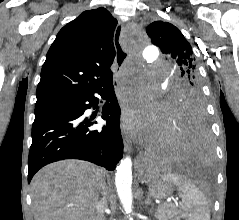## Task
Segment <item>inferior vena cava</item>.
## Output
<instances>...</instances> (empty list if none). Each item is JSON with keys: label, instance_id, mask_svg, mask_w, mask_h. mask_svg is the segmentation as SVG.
Instances as JSON below:
<instances>
[{"label": "inferior vena cava", "instance_id": "1", "mask_svg": "<svg viewBox=\"0 0 239 220\" xmlns=\"http://www.w3.org/2000/svg\"><path fill=\"white\" fill-rule=\"evenodd\" d=\"M107 207V200L105 197H103L100 201L97 202L96 204V209H97V220H105L104 217V210Z\"/></svg>", "mask_w": 239, "mask_h": 220}]
</instances>
